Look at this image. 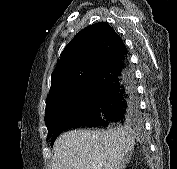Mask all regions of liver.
<instances>
[{
    "mask_svg": "<svg viewBox=\"0 0 177 169\" xmlns=\"http://www.w3.org/2000/svg\"><path fill=\"white\" fill-rule=\"evenodd\" d=\"M135 144L132 130H72L53 146L52 169H122Z\"/></svg>",
    "mask_w": 177,
    "mask_h": 169,
    "instance_id": "1",
    "label": "liver"
}]
</instances>
